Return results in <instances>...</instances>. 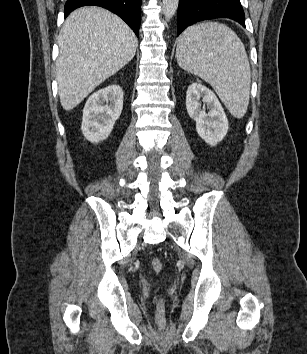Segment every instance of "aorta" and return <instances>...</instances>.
<instances>
[{"mask_svg":"<svg viewBox=\"0 0 307 354\" xmlns=\"http://www.w3.org/2000/svg\"><path fill=\"white\" fill-rule=\"evenodd\" d=\"M163 13L166 20H170L176 13L179 0H162Z\"/></svg>","mask_w":307,"mask_h":354,"instance_id":"762f6f07","label":"aorta"}]
</instances>
